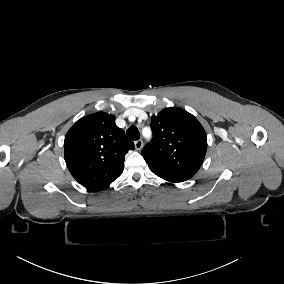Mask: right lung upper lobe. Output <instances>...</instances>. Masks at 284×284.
<instances>
[{"instance_id":"right-lung-upper-lobe-1","label":"right lung upper lobe","mask_w":284,"mask_h":284,"mask_svg":"<svg viewBox=\"0 0 284 284\" xmlns=\"http://www.w3.org/2000/svg\"><path fill=\"white\" fill-rule=\"evenodd\" d=\"M134 149L115 124V117L97 112L78 120L64 141L65 161L72 176L83 186L100 190L123 172L124 156Z\"/></svg>"}]
</instances>
